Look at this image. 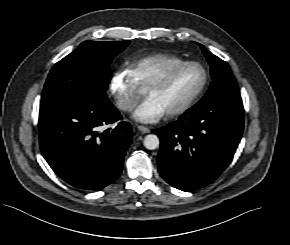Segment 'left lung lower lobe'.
Listing matches in <instances>:
<instances>
[{
  "mask_svg": "<svg viewBox=\"0 0 290 245\" xmlns=\"http://www.w3.org/2000/svg\"><path fill=\"white\" fill-rule=\"evenodd\" d=\"M243 127L241 98L198 102L178 121L156 130L160 175L187 192L209 185L232 161Z\"/></svg>",
  "mask_w": 290,
  "mask_h": 245,
  "instance_id": "1",
  "label": "left lung lower lobe"
}]
</instances>
